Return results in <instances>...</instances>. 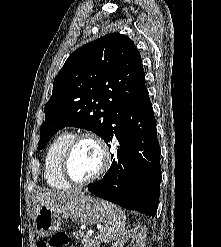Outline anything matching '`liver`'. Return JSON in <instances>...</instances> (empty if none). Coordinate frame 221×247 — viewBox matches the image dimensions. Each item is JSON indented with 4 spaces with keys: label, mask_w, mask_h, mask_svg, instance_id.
Segmentation results:
<instances>
[{
    "label": "liver",
    "mask_w": 221,
    "mask_h": 247,
    "mask_svg": "<svg viewBox=\"0 0 221 247\" xmlns=\"http://www.w3.org/2000/svg\"><path fill=\"white\" fill-rule=\"evenodd\" d=\"M78 194H80V190H71V191H62V192H53V191L41 192L36 196V200H35L36 214L42 205L55 206L57 204H61L77 196Z\"/></svg>",
    "instance_id": "liver-1"
}]
</instances>
